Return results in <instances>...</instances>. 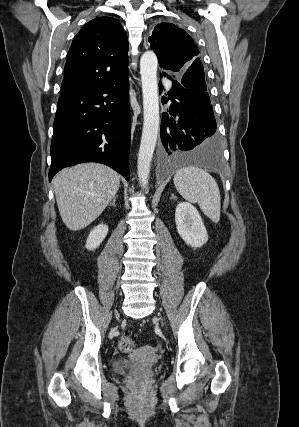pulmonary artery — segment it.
<instances>
[{
    "label": "pulmonary artery",
    "instance_id": "1",
    "mask_svg": "<svg viewBox=\"0 0 299 427\" xmlns=\"http://www.w3.org/2000/svg\"><path fill=\"white\" fill-rule=\"evenodd\" d=\"M166 86H167L168 88H171V83H170V82H168V81H166Z\"/></svg>",
    "mask_w": 299,
    "mask_h": 427
}]
</instances>
